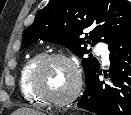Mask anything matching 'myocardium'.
Returning <instances> with one entry per match:
<instances>
[{
  "label": "myocardium",
  "instance_id": "f54148a6",
  "mask_svg": "<svg viewBox=\"0 0 131 115\" xmlns=\"http://www.w3.org/2000/svg\"><path fill=\"white\" fill-rule=\"evenodd\" d=\"M54 61H63L68 63L72 67L75 74V84L72 91L68 96L61 99L53 98L49 94L43 92L39 85V78L41 72L43 71L46 65ZM30 87L32 92L40 100H42L43 103L54 107H63L72 103L78 97L82 88V73L76 61L68 55L60 54V53L45 55L38 61V63L35 65V67L31 72Z\"/></svg>",
  "mask_w": 131,
  "mask_h": 115
}]
</instances>
